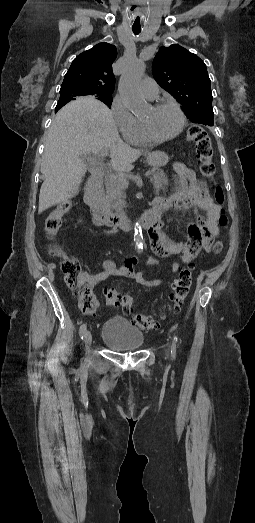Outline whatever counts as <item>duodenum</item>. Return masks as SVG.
Returning a JSON list of instances; mask_svg holds the SVG:
<instances>
[{
	"mask_svg": "<svg viewBox=\"0 0 255 523\" xmlns=\"http://www.w3.org/2000/svg\"><path fill=\"white\" fill-rule=\"evenodd\" d=\"M90 177L85 189V202L90 207L92 221L95 225L120 228L125 231L131 230L135 226L132 218L112 212L103 198V174L104 166L101 163L90 167ZM170 208L167 198H155L152 208L144 212L138 219V224L151 230L160 221L162 214Z\"/></svg>",
	"mask_w": 255,
	"mask_h": 523,
	"instance_id": "1",
	"label": "duodenum"
}]
</instances>
